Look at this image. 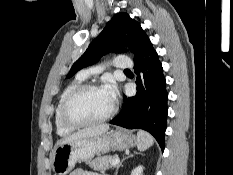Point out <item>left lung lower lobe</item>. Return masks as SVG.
Listing matches in <instances>:
<instances>
[{"label": "left lung lower lobe", "mask_w": 233, "mask_h": 175, "mask_svg": "<svg viewBox=\"0 0 233 175\" xmlns=\"http://www.w3.org/2000/svg\"><path fill=\"white\" fill-rule=\"evenodd\" d=\"M134 69L137 74V93L134 97L124 96L120 113L110 123L148 131L163 150L168 93L163 68L152 44L135 60Z\"/></svg>", "instance_id": "1"}]
</instances>
